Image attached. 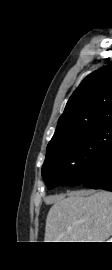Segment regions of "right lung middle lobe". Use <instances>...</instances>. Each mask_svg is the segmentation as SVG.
Returning a JSON list of instances; mask_svg holds the SVG:
<instances>
[{
	"instance_id": "obj_1",
	"label": "right lung middle lobe",
	"mask_w": 112,
	"mask_h": 270,
	"mask_svg": "<svg viewBox=\"0 0 112 270\" xmlns=\"http://www.w3.org/2000/svg\"><path fill=\"white\" fill-rule=\"evenodd\" d=\"M112 145V122L47 149L42 177L48 189L81 184L94 160Z\"/></svg>"
}]
</instances>
